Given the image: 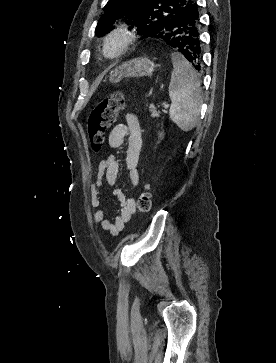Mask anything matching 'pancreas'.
Returning a JSON list of instances; mask_svg holds the SVG:
<instances>
[{"label": "pancreas", "mask_w": 276, "mask_h": 363, "mask_svg": "<svg viewBox=\"0 0 276 363\" xmlns=\"http://www.w3.org/2000/svg\"><path fill=\"white\" fill-rule=\"evenodd\" d=\"M149 109L152 112L153 117H159L160 112L156 110V107L154 105H151Z\"/></svg>", "instance_id": "1"}]
</instances>
